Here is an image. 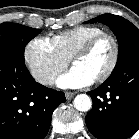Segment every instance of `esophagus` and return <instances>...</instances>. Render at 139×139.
I'll return each mask as SVG.
<instances>
[{"label": "esophagus", "mask_w": 139, "mask_h": 139, "mask_svg": "<svg viewBox=\"0 0 139 139\" xmlns=\"http://www.w3.org/2000/svg\"><path fill=\"white\" fill-rule=\"evenodd\" d=\"M74 95H75L74 92H69V91L65 92V97L67 100L72 99Z\"/></svg>", "instance_id": "obj_1"}]
</instances>
